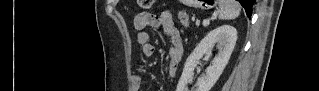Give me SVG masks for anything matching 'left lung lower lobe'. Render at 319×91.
<instances>
[{
	"instance_id": "1",
	"label": "left lung lower lobe",
	"mask_w": 319,
	"mask_h": 91,
	"mask_svg": "<svg viewBox=\"0 0 319 91\" xmlns=\"http://www.w3.org/2000/svg\"><path fill=\"white\" fill-rule=\"evenodd\" d=\"M238 1L245 8L247 17L250 19L252 15V6L255 0H238Z\"/></svg>"
}]
</instances>
